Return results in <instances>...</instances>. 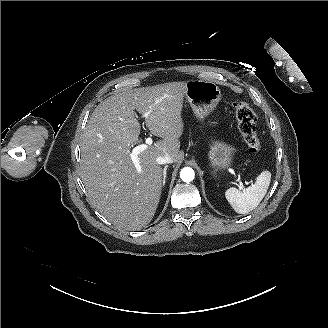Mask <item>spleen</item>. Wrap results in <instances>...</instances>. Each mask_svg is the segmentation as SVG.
<instances>
[{"label": "spleen", "instance_id": "1", "mask_svg": "<svg viewBox=\"0 0 328 328\" xmlns=\"http://www.w3.org/2000/svg\"><path fill=\"white\" fill-rule=\"evenodd\" d=\"M271 179V172L263 170L254 180V184L240 193L232 187L226 190L225 197L232 209L239 214L249 213L254 210L267 193Z\"/></svg>", "mask_w": 328, "mask_h": 328}]
</instances>
